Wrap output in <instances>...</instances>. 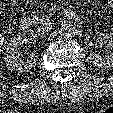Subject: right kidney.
<instances>
[{"label": "right kidney", "mask_w": 113, "mask_h": 113, "mask_svg": "<svg viewBox=\"0 0 113 113\" xmlns=\"http://www.w3.org/2000/svg\"><path fill=\"white\" fill-rule=\"evenodd\" d=\"M26 41L20 35L14 37L7 46L6 54L4 57L5 65L8 69L15 72H28L30 71L38 61V57L35 53H31L29 58L25 61L21 59V53L19 52V46Z\"/></svg>", "instance_id": "obj_1"}]
</instances>
